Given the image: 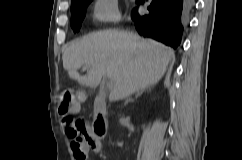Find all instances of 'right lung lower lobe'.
<instances>
[{
    "mask_svg": "<svg viewBox=\"0 0 242 160\" xmlns=\"http://www.w3.org/2000/svg\"><path fill=\"white\" fill-rule=\"evenodd\" d=\"M149 14L140 16L137 9L131 15L137 31L173 47L179 45L183 24L195 0H150ZM144 0H137L142 3Z\"/></svg>",
    "mask_w": 242,
    "mask_h": 160,
    "instance_id": "right-lung-lower-lobe-1",
    "label": "right lung lower lobe"
}]
</instances>
